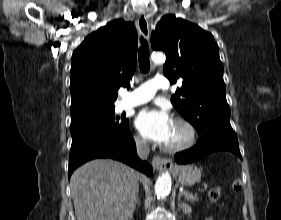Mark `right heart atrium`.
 Returning <instances> with one entry per match:
<instances>
[{
    "mask_svg": "<svg viewBox=\"0 0 281 220\" xmlns=\"http://www.w3.org/2000/svg\"><path fill=\"white\" fill-rule=\"evenodd\" d=\"M134 140H135V144L137 145V147H139L141 149H144L147 147L146 140L143 137H141L140 135H136L134 137Z\"/></svg>",
    "mask_w": 281,
    "mask_h": 220,
    "instance_id": "obj_1",
    "label": "right heart atrium"
}]
</instances>
